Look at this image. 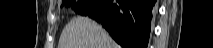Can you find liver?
<instances>
[{
	"label": "liver",
	"instance_id": "6515ba94",
	"mask_svg": "<svg viewBox=\"0 0 213 48\" xmlns=\"http://www.w3.org/2000/svg\"><path fill=\"white\" fill-rule=\"evenodd\" d=\"M58 48H120L105 29L87 17H74L63 29Z\"/></svg>",
	"mask_w": 213,
	"mask_h": 48
}]
</instances>
